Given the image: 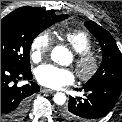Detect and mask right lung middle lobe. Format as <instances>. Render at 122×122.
<instances>
[{
    "label": "right lung middle lobe",
    "mask_w": 122,
    "mask_h": 122,
    "mask_svg": "<svg viewBox=\"0 0 122 122\" xmlns=\"http://www.w3.org/2000/svg\"><path fill=\"white\" fill-rule=\"evenodd\" d=\"M68 17H41L18 8L1 19V61L15 68L30 69L33 39L49 26Z\"/></svg>",
    "instance_id": "right-lung-middle-lobe-1"
}]
</instances>
